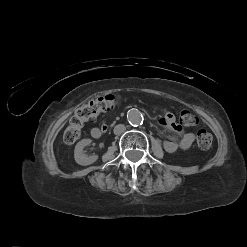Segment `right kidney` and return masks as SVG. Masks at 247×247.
<instances>
[{
	"mask_svg": "<svg viewBox=\"0 0 247 247\" xmlns=\"http://www.w3.org/2000/svg\"><path fill=\"white\" fill-rule=\"evenodd\" d=\"M91 142V139H82L76 144L74 150V158L76 163H78L79 165L87 166L94 163L98 159L97 155L86 156L83 152L84 147L89 145Z\"/></svg>",
	"mask_w": 247,
	"mask_h": 247,
	"instance_id": "1",
	"label": "right kidney"
}]
</instances>
